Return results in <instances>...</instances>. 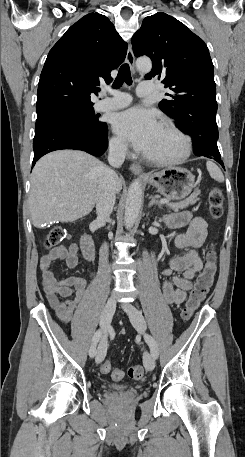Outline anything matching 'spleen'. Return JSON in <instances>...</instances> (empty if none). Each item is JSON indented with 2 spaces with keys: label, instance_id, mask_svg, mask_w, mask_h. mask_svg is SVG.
Wrapping results in <instances>:
<instances>
[{
  "label": "spleen",
  "instance_id": "obj_1",
  "mask_svg": "<svg viewBox=\"0 0 245 457\" xmlns=\"http://www.w3.org/2000/svg\"><path fill=\"white\" fill-rule=\"evenodd\" d=\"M206 166H207V170L210 174V176H212V178H215V180H219V182H223L224 180V176H223V172L222 170H220L219 166H217V164H215V162H212V160H207L206 162Z\"/></svg>",
  "mask_w": 245,
  "mask_h": 457
}]
</instances>
